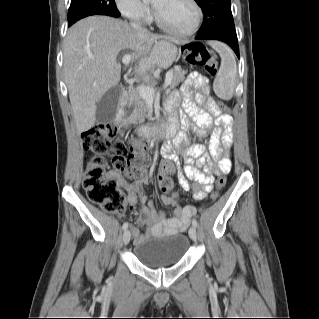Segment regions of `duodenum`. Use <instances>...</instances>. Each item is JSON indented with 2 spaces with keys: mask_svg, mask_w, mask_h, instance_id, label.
Returning <instances> with one entry per match:
<instances>
[{
  "mask_svg": "<svg viewBox=\"0 0 319 319\" xmlns=\"http://www.w3.org/2000/svg\"><path fill=\"white\" fill-rule=\"evenodd\" d=\"M128 95L123 93L120 96L117 107L116 121L120 125H127L128 118L126 114V106L128 104ZM178 129V122L171 117L169 122L164 126H157L155 124H143L138 126L139 135L144 138L146 142H150L156 137L163 136L171 138L176 134Z\"/></svg>",
  "mask_w": 319,
  "mask_h": 319,
  "instance_id": "1",
  "label": "duodenum"
}]
</instances>
